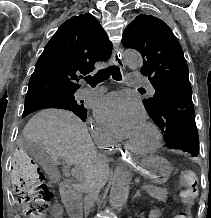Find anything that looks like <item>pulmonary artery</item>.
<instances>
[{"mask_svg":"<svg viewBox=\"0 0 211 218\" xmlns=\"http://www.w3.org/2000/svg\"><path fill=\"white\" fill-rule=\"evenodd\" d=\"M126 85H144V89H148L151 95L155 94V84H150V80H146L147 76L143 74H127ZM107 91V88L101 84L95 87H82L78 91V98L79 99H88L98 97L104 94Z\"/></svg>","mask_w":211,"mask_h":218,"instance_id":"1","label":"pulmonary artery"}]
</instances>
